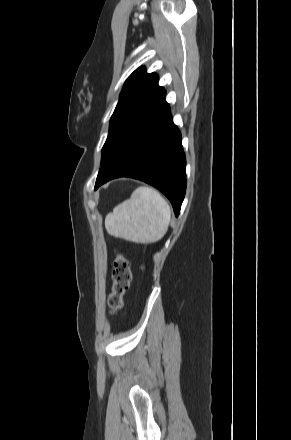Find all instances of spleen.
Returning <instances> with one entry per match:
<instances>
[{"label":"spleen","mask_w":291,"mask_h":440,"mask_svg":"<svg viewBox=\"0 0 291 440\" xmlns=\"http://www.w3.org/2000/svg\"><path fill=\"white\" fill-rule=\"evenodd\" d=\"M170 220L167 201L153 188L141 186L106 216L105 227L114 237L148 244L164 237Z\"/></svg>","instance_id":"1"}]
</instances>
